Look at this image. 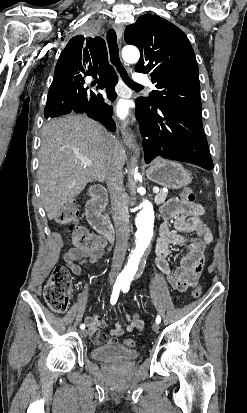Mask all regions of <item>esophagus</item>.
<instances>
[{"instance_id": "34e87169", "label": "esophagus", "mask_w": 247, "mask_h": 413, "mask_svg": "<svg viewBox=\"0 0 247 413\" xmlns=\"http://www.w3.org/2000/svg\"><path fill=\"white\" fill-rule=\"evenodd\" d=\"M114 29H115L118 40H120L123 34L124 26L122 24L117 23L114 25ZM121 136H122V140L125 143V145H127L131 149L136 150V152L139 153V148L136 144V140L133 137V134L130 129L125 128V127L122 128Z\"/></svg>"}]
</instances>
